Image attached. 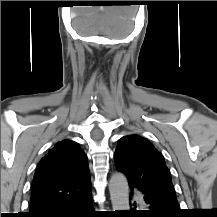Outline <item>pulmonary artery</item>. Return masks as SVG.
I'll return each instance as SVG.
<instances>
[{
  "mask_svg": "<svg viewBox=\"0 0 217 217\" xmlns=\"http://www.w3.org/2000/svg\"><path fill=\"white\" fill-rule=\"evenodd\" d=\"M139 202H140L141 204H143V203H144V200H142L141 198H139Z\"/></svg>",
  "mask_w": 217,
  "mask_h": 217,
  "instance_id": "e3ab8cb5",
  "label": "pulmonary artery"
}]
</instances>
